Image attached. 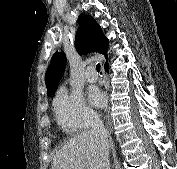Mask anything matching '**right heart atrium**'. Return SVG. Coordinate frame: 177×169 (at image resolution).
I'll return each mask as SVG.
<instances>
[{"instance_id": "1", "label": "right heart atrium", "mask_w": 177, "mask_h": 169, "mask_svg": "<svg viewBox=\"0 0 177 169\" xmlns=\"http://www.w3.org/2000/svg\"><path fill=\"white\" fill-rule=\"evenodd\" d=\"M53 110L59 127L66 133L85 129L97 119L79 92L61 87L53 100Z\"/></svg>"}]
</instances>
